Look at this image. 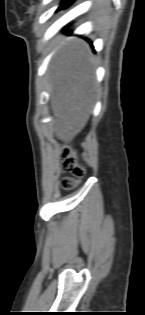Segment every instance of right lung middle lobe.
<instances>
[{"mask_svg":"<svg viewBox=\"0 0 145 315\" xmlns=\"http://www.w3.org/2000/svg\"><path fill=\"white\" fill-rule=\"evenodd\" d=\"M66 2H67V0H63V2L61 3L60 7L58 8V10L61 9L65 5Z\"/></svg>","mask_w":145,"mask_h":315,"instance_id":"obj_1","label":"right lung middle lobe"}]
</instances>
